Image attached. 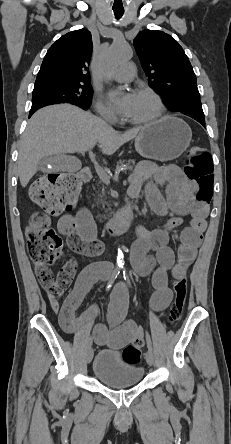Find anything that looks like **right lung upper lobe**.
I'll return each mask as SVG.
<instances>
[{
    "label": "right lung upper lobe",
    "mask_w": 231,
    "mask_h": 444,
    "mask_svg": "<svg viewBox=\"0 0 231 444\" xmlns=\"http://www.w3.org/2000/svg\"><path fill=\"white\" fill-rule=\"evenodd\" d=\"M92 48L91 33L86 29L63 35L47 51L35 86L51 83L89 84L88 67Z\"/></svg>",
    "instance_id": "1"
}]
</instances>
